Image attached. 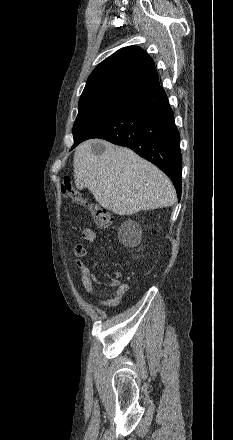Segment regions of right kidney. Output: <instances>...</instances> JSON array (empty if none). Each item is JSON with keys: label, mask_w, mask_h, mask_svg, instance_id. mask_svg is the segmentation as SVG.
I'll return each instance as SVG.
<instances>
[{"label": "right kidney", "mask_w": 233, "mask_h": 440, "mask_svg": "<svg viewBox=\"0 0 233 440\" xmlns=\"http://www.w3.org/2000/svg\"><path fill=\"white\" fill-rule=\"evenodd\" d=\"M118 237L124 245L136 246L141 240V229L135 222H125L119 229Z\"/></svg>", "instance_id": "right-kidney-1"}]
</instances>
